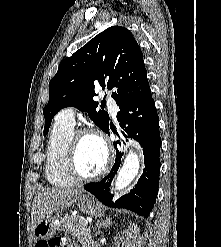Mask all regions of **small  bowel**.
<instances>
[{
	"label": "small bowel",
	"mask_w": 221,
	"mask_h": 247,
	"mask_svg": "<svg viewBox=\"0 0 221 247\" xmlns=\"http://www.w3.org/2000/svg\"><path fill=\"white\" fill-rule=\"evenodd\" d=\"M45 240H42V241H38L37 243H39V242H44ZM36 247H37V244H36ZM62 247H74V245L73 244H71V243H64L63 244V246Z\"/></svg>",
	"instance_id": "c3829d8e"
}]
</instances>
